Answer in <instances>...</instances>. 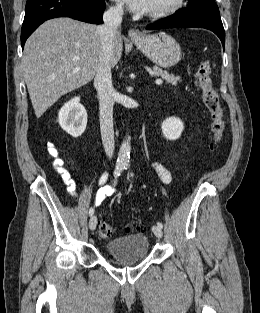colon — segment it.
<instances>
[{"label": "colon", "mask_w": 260, "mask_h": 313, "mask_svg": "<svg viewBox=\"0 0 260 313\" xmlns=\"http://www.w3.org/2000/svg\"><path fill=\"white\" fill-rule=\"evenodd\" d=\"M195 82L201 89L203 102L210 113V130L212 134L211 148L215 150L221 143L225 130L224 109L220 101L219 94L213 85L211 77V65L207 61L199 64L195 75ZM142 226H139L141 229ZM132 228L127 227L126 231ZM98 232L101 238L107 239L114 235V229L106 222H100Z\"/></svg>", "instance_id": "5ec220e1"}]
</instances>
